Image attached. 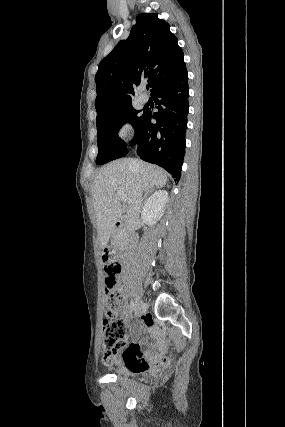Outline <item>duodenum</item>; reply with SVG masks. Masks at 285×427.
I'll return each mask as SVG.
<instances>
[{
    "instance_id": "obj_1",
    "label": "duodenum",
    "mask_w": 285,
    "mask_h": 427,
    "mask_svg": "<svg viewBox=\"0 0 285 427\" xmlns=\"http://www.w3.org/2000/svg\"><path fill=\"white\" fill-rule=\"evenodd\" d=\"M133 222L134 219L133 217H121V218H117L116 220H114L113 224H112V229L113 230H120L124 233V239L126 242V246H125V255H129L130 252L133 250L134 248V244L132 242V239L129 235L132 227H133Z\"/></svg>"
}]
</instances>
